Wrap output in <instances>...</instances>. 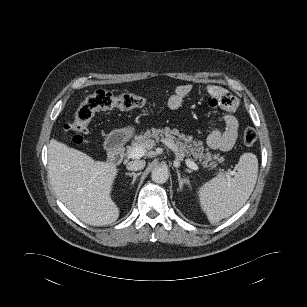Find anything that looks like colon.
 Masks as SVG:
<instances>
[{
	"mask_svg": "<svg viewBox=\"0 0 307 307\" xmlns=\"http://www.w3.org/2000/svg\"><path fill=\"white\" fill-rule=\"evenodd\" d=\"M147 104V100L138 94L123 93L115 95L105 90H97L78 105L73 118L65 123L64 128L71 133V139L75 144H82L85 142L89 123L97 112L113 108L131 110L142 108ZM256 140V130L253 128L244 130L243 141L246 145H253Z\"/></svg>",
	"mask_w": 307,
	"mask_h": 307,
	"instance_id": "obj_1",
	"label": "colon"
}]
</instances>
